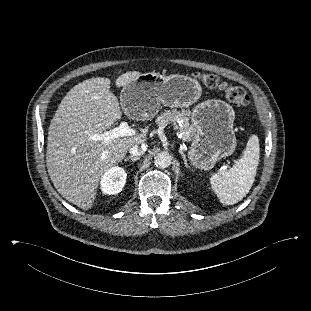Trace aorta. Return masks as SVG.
I'll return each instance as SVG.
<instances>
[{
	"mask_svg": "<svg viewBox=\"0 0 311 311\" xmlns=\"http://www.w3.org/2000/svg\"><path fill=\"white\" fill-rule=\"evenodd\" d=\"M154 163L158 168H167L171 164V156L168 152H160L155 156Z\"/></svg>",
	"mask_w": 311,
	"mask_h": 311,
	"instance_id": "obj_1",
	"label": "aorta"
}]
</instances>
